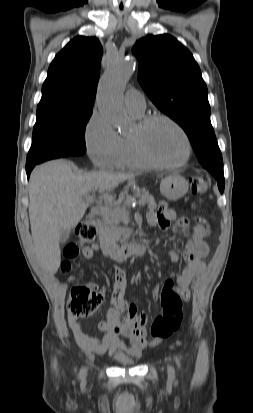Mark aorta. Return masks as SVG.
Masks as SVG:
<instances>
[{"label":"aorta","mask_w":253,"mask_h":413,"mask_svg":"<svg viewBox=\"0 0 253 413\" xmlns=\"http://www.w3.org/2000/svg\"><path fill=\"white\" fill-rule=\"evenodd\" d=\"M134 70L131 60L113 62L102 76L97 92V106L111 124L126 129L129 121L123 105V91Z\"/></svg>","instance_id":"762f6f07"}]
</instances>
